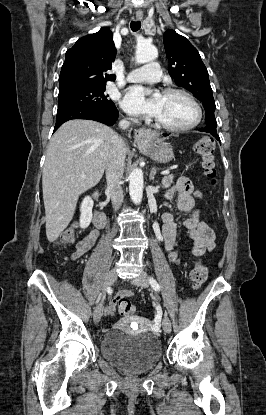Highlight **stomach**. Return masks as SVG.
I'll use <instances>...</instances> for the list:
<instances>
[{"instance_id": "0dacf381", "label": "stomach", "mask_w": 266, "mask_h": 415, "mask_svg": "<svg viewBox=\"0 0 266 415\" xmlns=\"http://www.w3.org/2000/svg\"><path fill=\"white\" fill-rule=\"evenodd\" d=\"M139 149L159 163H167L174 157L171 146L153 137L140 141Z\"/></svg>"}]
</instances>
